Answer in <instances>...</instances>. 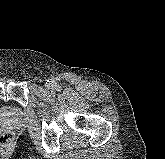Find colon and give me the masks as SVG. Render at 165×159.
Returning a JSON list of instances; mask_svg holds the SVG:
<instances>
[{"mask_svg":"<svg viewBox=\"0 0 165 159\" xmlns=\"http://www.w3.org/2000/svg\"><path fill=\"white\" fill-rule=\"evenodd\" d=\"M14 141V137L11 133L0 134V144L4 146H10Z\"/></svg>","mask_w":165,"mask_h":159,"instance_id":"5ec220e1","label":"colon"}]
</instances>
